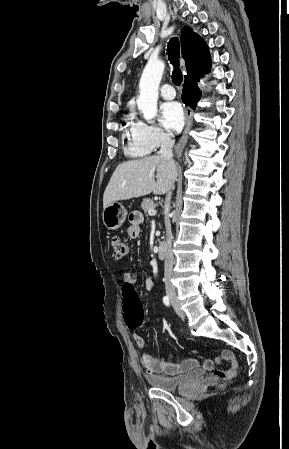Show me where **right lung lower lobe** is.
Here are the masks:
<instances>
[{
    "label": "right lung lower lobe",
    "mask_w": 289,
    "mask_h": 449,
    "mask_svg": "<svg viewBox=\"0 0 289 449\" xmlns=\"http://www.w3.org/2000/svg\"><path fill=\"white\" fill-rule=\"evenodd\" d=\"M210 70V67L206 73ZM199 78H187L183 86L182 101L184 104L195 109L197 102L201 97V92L198 88Z\"/></svg>",
    "instance_id": "98d812e1"
}]
</instances>
